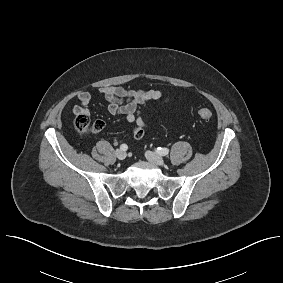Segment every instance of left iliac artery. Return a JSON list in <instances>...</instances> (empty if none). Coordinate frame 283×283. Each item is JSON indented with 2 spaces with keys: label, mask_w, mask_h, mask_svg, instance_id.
I'll return each instance as SVG.
<instances>
[{
  "label": "left iliac artery",
  "mask_w": 283,
  "mask_h": 283,
  "mask_svg": "<svg viewBox=\"0 0 283 283\" xmlns=\"http://www.w3.org/2000/svg\"><path fill=\"white\" fill-rule=\"evenodd\" d=\"M156 152H157L158 154H160L161 156H166V155H168V153H169V149L158 147L157 150H156Z\"/></svg>",
  "instance_id": "1"
}]
</instances>
